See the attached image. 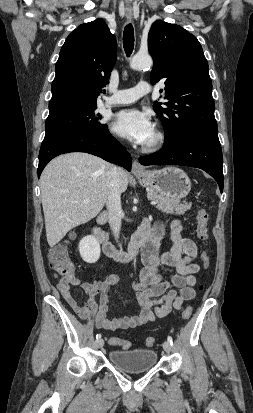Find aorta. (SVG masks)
I'll list each match as a JSON object with an SVG mask.
<instances>
[{
    "label": "aorta",
    "mask_w": 253,
    "mask_h": 413,
    "mask_svg": "<svg viewBox=\"0 0 253 413\" xmlns=\"http://www.w3.org/2000/svg\"><path fill=\"white\" fill-rule=\"evenodd\" d=\"M153 65V60L150 55L136 54L130 61V67L134 70H142L150 68Z\"/></svg>",
    "instance_id": "1"
}]
</instances>
